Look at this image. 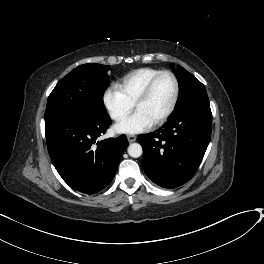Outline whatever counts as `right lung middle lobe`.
Returning <instances> with one entry per match:
<instances>
[{
  "label": "right lung middle lobe",
  "mask_w": 264,
  "mask_h": 264,
  "mask_svg": "<svg viewBox=\"0 0 264 264\" xmlns=\"http://www.w3.org/2000/svg\"><path fill=\"white\" fill-rule=\"evenodd\" d=\"M108 65L83 64L62 78L49 95L45 122L63 117L107 114L103 95L109 86Z\"/></svg>",
  "instance_id": "obj_1"
}]
</instances>
